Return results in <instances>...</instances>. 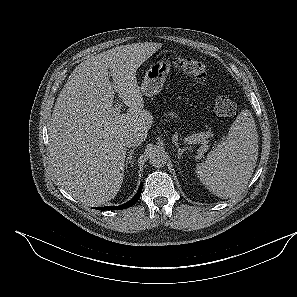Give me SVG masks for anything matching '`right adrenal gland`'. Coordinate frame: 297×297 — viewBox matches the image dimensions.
Segmentation results:
<instances>
[{"instance_id":"1","label":"right adrenal gland","mask_w":297,"mask_h":297,"mask_svg":"<svg viewBox=\"0 0 297 297\" xmlns=\"http://www.w3.org/2000/svg\"><path fill=\"white\" fill-rule=\"evenodd\" d=\"M134 148L131 149L130 151H128V155L126 158V162H125V166L127 167V165L130 163L131 167L133 166L134 160H133V153H134Z\"/></svg>"}]
</instances>
